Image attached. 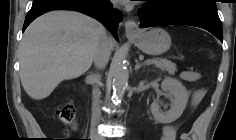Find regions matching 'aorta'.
<instances>
[{
    "mask_svg": "<svg viewBox=\"0 0 236 140\" xmlns=\"http://www.w3.org/2000/svg\"><path fill=\"white\" fill-rule=\"evenodd\" d=\"M128 70L125 64L123 63V57H120L115 65L113 70V99L114 101H121L125 90L128 85Z\"/></svg>",
    "mask_w": 236,
    "mask_h": 140,
    "instance_id": "obj_1",
    "label": "aorta"
}]
</instances>
